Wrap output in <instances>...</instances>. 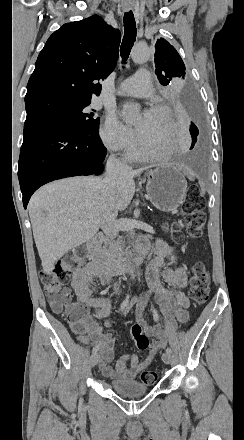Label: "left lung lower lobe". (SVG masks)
Instances as JSON below:
<instances>
[{
	"label": "left lung lower lobe",
	"mask_w": 244,
	"mask_h": 440,
	"mask_svg": "<svg viewBox=\"0 0 244 440\" xmlns=\"http://www.w3.org/2000/svg\"><path fill=\"white\" fill-rule=\"evenodd\" d=\"M181 107L189 123V131L192 136V144L190 149H192L198 141L199 130L196 124L199 122V110L197 106L196 99L194 95L190 92L185 93L180 101Z\"/></svg>",
	"instance_id": "left-lung-lower-lobe-1"
}]
</instances>
